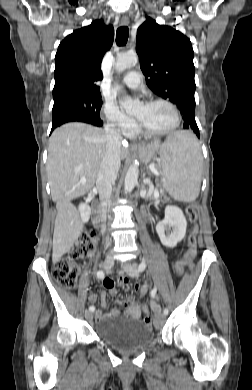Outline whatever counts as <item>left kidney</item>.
Wrapping results in <instances>:
<instances>
[{
    "mask_svg": "<svg viewBox=\"0 0 252 390\" xmlns=\"http://www.w3.org/2000/svg\"><path fill=\"white\" fill-rule=\"evenodd\" d=\"M186 228V218L176 206H167L164 219L156 225L161 243L169 248H174L185 237Z\"/></svg>",
    "mask_w": 252,
    "mask_h": 390,
    "instance_id": "obj_1",
    "label": "left kidney"
}]
</instances>
